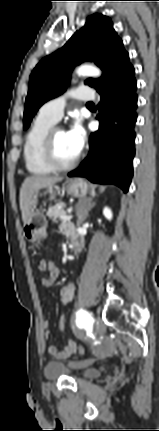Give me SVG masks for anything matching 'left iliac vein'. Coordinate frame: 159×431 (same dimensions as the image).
<instances>
[{"label": "left iliac vein", "mask_w": 159, "mask_h": 431, "mask_svg": "<svg viewBox=\"0 0 159 431\" xmlns=\"http://www.w3.org/2000/svg\"><path fill=\"white\" fill-rule=\"evenodd\" d=\"M95 324H96L98 327H101L102 322H101V319H100V317H99V316H96V317H95ZM93 362H94V359H88V360L84 361L81 365H82V366H87V365L92 364Z\"/></svg>", "instance_id": "obj_1"}]
</instances>
